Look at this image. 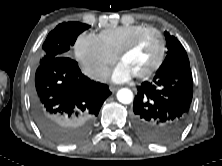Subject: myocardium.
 Instances as JSON below:
<instances>
[{
  "mask_svg": "<svg viewBox=\"0 0 222 166\" xmlns=\"http://www.w3.org/2000/svg\"><path fill=\"white\" fill-rule=\"evenodd\" d=\"M149 34H154L158 37L160 42V50H159V56L156 60V62L146 71L136 74L135 76L138 78H145L148 76H151L154 74L163 64L165 57H166V41L163 36V34L156 28H147L137 34L127 45H125L120 52L117 55V59L119 61H122V59L128 55L130 52H132L140 43L141 41L148 36Z\"/></svg>",
  "mask_w": 222,
  "mask_h": 166,
  "instance_id": "obj_1",
  "label": "myocardium"
}]
</instances>
